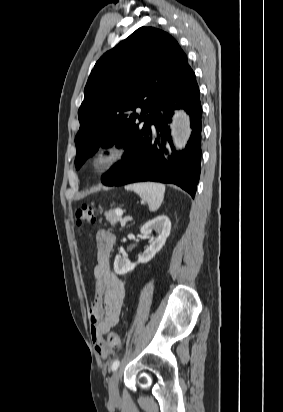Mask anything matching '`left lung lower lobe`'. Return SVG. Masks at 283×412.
Segmentation results:
<instances>
[{
    "label": "left lung lower lobe",
    "instance_id": "left-lung-lower-lobe-1",
    "mask_svg": "<svg viewBox=\"0 0 283 412\" xmlns=\"http://www.w3.org/2000/svg\"><path fill=\"white\" fill-rule=\"evenodd\" d=\"M176 103V105H175ZM184 108L190 115L192 134L182 152L170 154V129L173 110ZM201 116L199 88L191 71L180 82L170 99L155 113L148 129L130 136L123 159L103 176L106 186H119L140 181L172 183L195 196L200 177Z\"/></svg>",
    "mask_w": 283,
    "mask_h": 412
}]
</instances>
